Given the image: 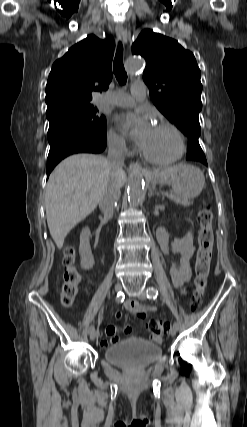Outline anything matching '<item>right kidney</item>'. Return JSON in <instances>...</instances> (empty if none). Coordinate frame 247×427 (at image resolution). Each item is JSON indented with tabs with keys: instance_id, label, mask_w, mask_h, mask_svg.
Returning a JSON list of instances; mask_svg holds the SVG:
<instances>
[{
	"instance_id": "ca27d5eb",
	"label": "right kidney",
	"mask_w": 247,
	"mask_h": 427,
	"mask_svg": "<svg viewBox=\"0 0 247 427\" xmlns=\"http://www.w3.org/2000/svg\"><path fill=\"white\" fill-rule=\"evenodd\" d=\"M89 237L90 229L88 227L83 228L80 234L79 254L81 257V267L85 270L91 269L94 265Z\"/></svg>"
}]
</instances>
